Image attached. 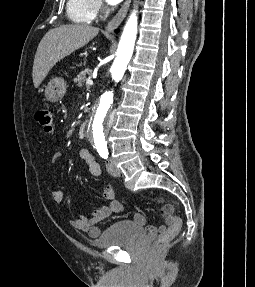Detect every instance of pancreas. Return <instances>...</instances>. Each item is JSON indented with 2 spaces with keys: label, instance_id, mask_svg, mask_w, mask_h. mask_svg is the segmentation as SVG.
Instances as JSON below:
<instances>
[{
  "label": "pancreas",
  "instance_id": "pancreas-1",
  "mask_svg": "<svg viewBox=\"0 0 255 287\" xmlns=\"http://www.w3.org/2000/svg\"><path fill=\"white\" fill-rule=\"evenodd\" d=\"M89 78H92V70H90V68H86V70H83V72L78 74L77 78H74V82L77 86H83L84 82L89 80Z\"/></svg>",
  "mask_w": 255,
  "mask_h": 287
}]
</instances>
